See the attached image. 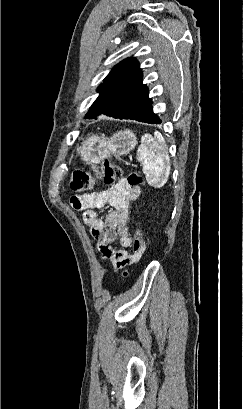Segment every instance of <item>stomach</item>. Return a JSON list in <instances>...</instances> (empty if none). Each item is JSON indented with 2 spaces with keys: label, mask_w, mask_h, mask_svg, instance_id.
Returning a JSON list of instances; mask_svg holds the SVG:
<instances>
[{
  "label": "stomach",
  "mask_w": 243,
  "mask_h": 409,
  "mask_svg": "<svg viewBox=\"0 0 243 409\" xmlns=\"http://www.w3.org/2000/svg\"><path fill=\"white\" fill-rule=\"evenodd\" d=\"M136 144L137 138L132 131L121 130L110 138L96 135L87 138L78 152L87 164H98L111 156L127 155Z\"/></svg>",
  "instance_id": "stomach-1"
}]
</instances>
